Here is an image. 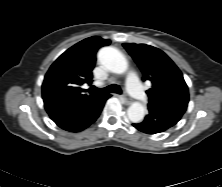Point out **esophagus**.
I'll return each instance as SVG.
<instances>
[{
  "label": "esophagus",
  "mask_w": 222,
  "mask_h": 187,
  "mask_svg": "<svg viewBox=\"0 0 222 187\" xmlns=\"http://www.w3.org/2000/svg\"><path fill=\"white\" fill-rule=\"evenodd\" d=\"M120 99L122 100V102H124L125 104H130L131 103V99L126 98L124 96H121Z\"/></svg>",
  "instance_id": "34e87169"
}]
</instances>
